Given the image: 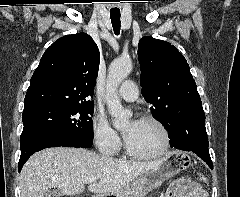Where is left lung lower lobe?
Instances as JSON below:
<instances>
[{"mask_svg":"<svg viewBox=\"0 0 240 197\" xmlns=\"http://www.w3.org/2000/svg\"><path fill=\"white\" fill-rule=\"evenodd\" d=\"M174 122L168 134L171 147L193 151L213 169L203 107H195L191 112L181 114Z\"/></svg>","mask_w":240,"mask_h":197,"instance_id":"1","label":"left lung lower lobe"}]
</instances>
